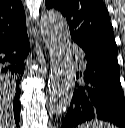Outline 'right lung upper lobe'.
<instances>
[{
	"label": "right lung upper lobe",
	"instance_id": "1",
	"mask_svg": "<svg viewBox=\"0 0 125 128\" xmlns=\"http://www.w3.org/2000/svg\"><path fill=\"white\" fill-rule=\"evenodd\" d=\"M25 31V12L21 1L0 0V43Z\"/></svg>",
	"mask_w": 125,
	"mask_h": 128
}]
</instances>
